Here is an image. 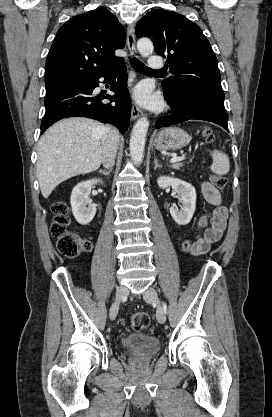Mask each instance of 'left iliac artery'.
Here are the masks:
<instances>
[{"label":"left iliac artery","mask_w":272,"mask_h":417,"mask_svg":"<svg viewBox=\"0 0 272 417\" xmlns=\"http://www.w3.org/2000/svg\"><path fill=\"white\" fill-rule=\"evenodd\" d=\"M163 309L165 311V313L167 312V305L165 303H163Z\"/></svg>","instance_id":"44dca946"}]
</instances>
